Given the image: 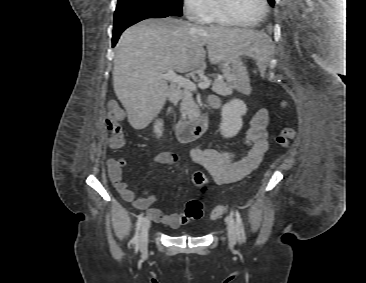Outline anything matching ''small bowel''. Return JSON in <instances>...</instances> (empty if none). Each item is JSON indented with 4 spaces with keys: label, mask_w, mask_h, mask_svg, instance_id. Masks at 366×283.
Masks as SVG:
<instances>
[{
    "label": "small bowel",
    "mask_w": 366,
    "mask_h": 283,
    "mask_svg": "<svg viewBox=\"0 0 366 283\" xmlns=\"http://www.w3.org/2000/svg\"><path fill=\"white\" fill-rule=\"evenodd\" d=\"M210 99L215 103V107L221 106L218 98L211 97ZM268 121L269 113L266 109L262 108L255 112L246 133V145L249 147V151L242 157L232 151L194 148L189 152V158L193 163L203 167L217 185L237 182L255 171L266 154L268 150ZM178 159L176 153L164 151L157 154L153 162L175 164ZM125 164L126 162L122 158H110L107 161L110 180L121 197L135 208L145 210L150 219L155 222L165 224L171 228H178L183 225L186 220L182 215L176 213L166 214L160 209L150 208L156 200L155 195L147 194L143 198H135L134 192L123 181Z\"/></svg>",
    "instance_id": "small-bowel-1"
}]
</instances>
